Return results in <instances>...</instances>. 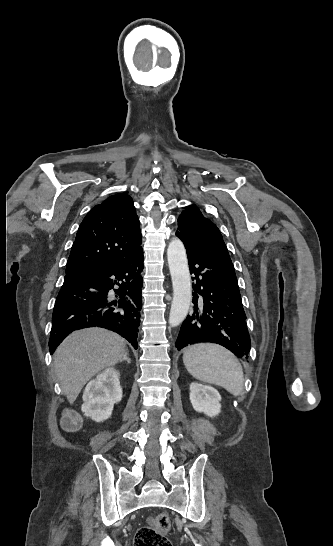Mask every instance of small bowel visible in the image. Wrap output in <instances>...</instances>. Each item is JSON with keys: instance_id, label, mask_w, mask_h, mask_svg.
<instances>
[{"instance_id": "c3829d8e", "label": "small bowel", "mask_w": 333, "mask_h": 546, "mask_svg": "<svg viewBox=\"0 0 333 546\" xmlns=\"http://www.w3.org/2000/svg\"><path fill=\"white\" fill-rule=\"evenodd\" d=\"M78 422V419L76 417L67 416L62 421V426L66 430H72L75 428L76 423Z\"/></svg>"}]
</instances>
